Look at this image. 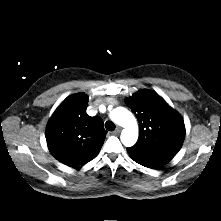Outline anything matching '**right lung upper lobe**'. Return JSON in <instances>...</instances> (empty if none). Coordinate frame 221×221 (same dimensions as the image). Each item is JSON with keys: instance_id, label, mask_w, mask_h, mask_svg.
<instances>
[{"instance_id": "right-lung-upper-lobe-1", "label": "right lung upper lobe", "mask_w": 221, "mask_h": 221, "mask_svg": "<svg viewBox=\"0 0 221 221\" xmlns=\"http://www.w3.org/2000/svg\"><path fill=\"white\" fill-rule=\"evenodd\" d=\"M87 105L88 97L83 93L67 97L55 110L46 128L51 154L73 168L86 164L99 153L107 133L99 116L87 115Z\"/></svg>"}]
</instances>
